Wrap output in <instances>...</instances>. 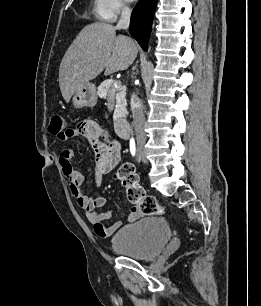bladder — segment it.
Returning a JSON list of instances; mask_svg holds the SVG:
<instances>
[{
    "label": "bladder",
    "instance_id": "bladder-1",
    "mask_svg": "<svg viewBox=\"0 0 261 306\" xmlns=\"http://www.w3.org/2000/svg\"><path fill=\"white\" fill-rule=\"evenodd\" d=\"M171 231L165 219L148 216L121 227L111 237L114 252L136 260H149L165 247Z\"/></svg>",
    "mask_w": 261,
    "mask_h": 306
}]
</instances>
